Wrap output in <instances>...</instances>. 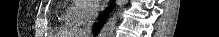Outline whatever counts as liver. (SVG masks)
<instances>
[{"mask_svg":"<svg viewBox=\"0 0 219 37\" xmlns=\"http://www.w3.org/2000/svg\"><path fill=\"white\" fill-rule=\"evenodd\" d=\"M76 35H84V34H82V33H79V34H76ZM77 37H83V36H77Z\"/></svg>","mask_w":219,"mask_h":37,"instance_id":"6515ba94","label":"liver"}]
</instances>
